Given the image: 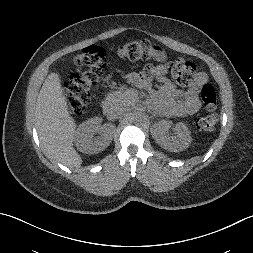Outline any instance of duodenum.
<instances>
[{"instance_id": "410a0bca", "label": "duodenum", "mask_w": 253, "mask_h": 253, "mask_svg": "<svg viewBox=\"0 0 253 253\" xmlns=\"http://www.w3.org/2000/svg\"><path fill=\"white\" fill-rule=\"evenodd\" d=\"M102 107H103L104 112L110 111L111 108H112V104H111L110 100L109 99H105L102 102Z\"/></svg>"}]
</instances>
